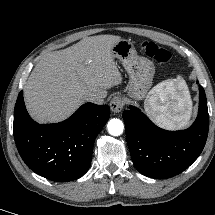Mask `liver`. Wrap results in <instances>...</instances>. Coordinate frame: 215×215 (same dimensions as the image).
<instances>
[{
    "label": "liver",
    "instance_id": "obj_1",
    "mask_svg": "<svg viewBox=\"0 0 215 215\" xmlns=\"http://www.w3.org/2000/svg\"><path fill=\"white\" fill-rule=\"evenodd\" d=\"M121 40L114 35L83 38L78 43L44 55L26 85L24 101L38 122H59L69 117L90 93L107 95L122 82L111 53Z\"/></svg>",
    "mask_w": 215,
    "mask_h": 215
}]
</instances>
